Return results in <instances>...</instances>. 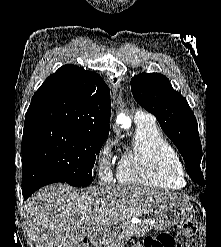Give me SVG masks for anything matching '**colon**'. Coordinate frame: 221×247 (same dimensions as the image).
I'll return each instance as SVG.
<instances>
[{
    "mask_svg": "<svg viewBox=\"0 0 221 247\" xmlns=\"http://www.w3.org/2000/svg\"><path fill=\"white\" fill-rule=\"evenodd\" d=\"M196 229V218L191 216L182 222L176 239L169 235L161 234L155 237L147 238L144 241V245L146 247H192L193 236ZM78 247L91 246L88 242H82Z\"/></svg>",
    "mask_w": 221,
    "mask_h": 247,
    "instance_id": "obj_1",
    "label": "colon"
}]
</instances>
